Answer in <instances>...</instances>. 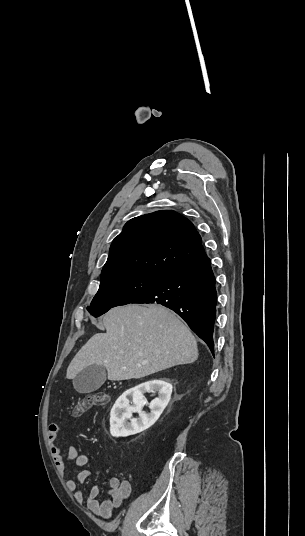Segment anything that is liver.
<instances>
[{"instance_id":"obj_1","label":"liver","mask_w":305,"mask_h":536,"mask_svg":"<svg viewBox=\"0 0 305 536\" xmlns=\"http://www.w3.org/2000/svg\"><path fill=\"white\" fill-rule=\"evenodd\" d=\"M106 334H95L74 356L67 380L91 366H105L108 380L145 378L198 358L197 342L174 312L158 304H128L103 316Z\"/></svg>"}]
</instances>
